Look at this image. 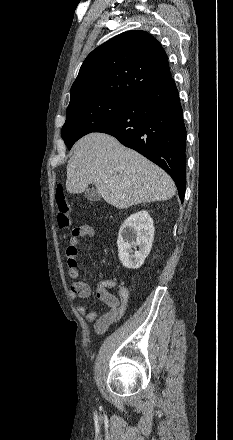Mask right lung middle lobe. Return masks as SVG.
<instances>
[{
	"label": "right lung middle lobe",
	"mask_w": 233,
	"mask_h": 440,
	"mask_svg": "<svg viewBox=\"0 0 233 440\" xmlns=\"http://www.w3.org/2000/svg\"><path fill=\"white\" fill-rule=\"evenodd\" d=\"M129 99L94 97L69 104L62 138L70 150L82 136L95 132L112 121L127 105Z\"/></svg>",
	"instance_id": "1"
}]
</instances>
